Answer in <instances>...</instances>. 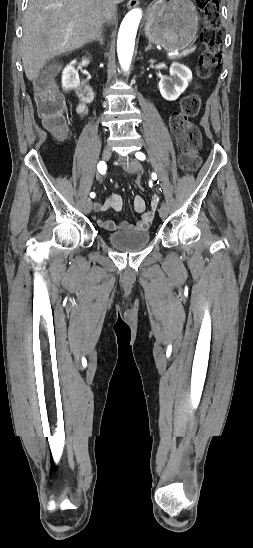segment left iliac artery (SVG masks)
Returning <instances> with one entry per match:
<instances>
[{"label": "left iliac artery", "mask_w": 253, "mask_h": 548, "mask_svg": "<svg viewBox=\"0 0 253 548\" xmlns=\"http://www.w3.org/2000/svg\"><path fill=\"white\" fill-rule=\"evenodd\" d=\"M136 157H137L139 160H145V159H146L145 154L142 153V152H137V153H136ZM152 179H154V180L157 179L156 173H152Z\"/></svg>", "instance_id": "1"}]
</instances>
